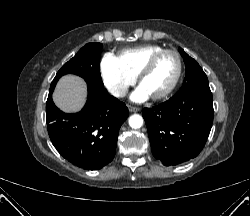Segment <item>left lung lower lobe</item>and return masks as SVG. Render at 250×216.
Listing matches in <instances>:
<instances>
[{
  "instance_id": "0a47b994",
  "label": "left lung lower lobe",
  "mask_w": 250,
  "mask_h": 216,
  "mask_svg": "<svg viewBox=\"0 0 250 216\" xmlns=\"http://www.w3.org/2000/svg\"><path fill=\"white\" fill-rule=\"evenodd\" d=\"M213 114V99L207 95L169 99L153 108H144L154 157L165 166L196 157L209 136Z\"/></svg>"
}]
</instances>
